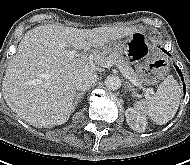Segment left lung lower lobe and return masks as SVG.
Returning a JSON list of instances; mask_svg holds the SVG:
<instances>
[{
  "label": "left lung lower lobe",
  "instance_id": "obj_1",
  "mask_svg": "<svg viewBox=\"0 0 190 165\" xmlns=\"http://www.w3.org/2000/svg\"><path fill=\"white\" fill-rule=\"evenodd\" d=\"M162 50H163L164 52H166L164 49H162ZM166 53H167V52H166ZM175 67H176V69H177V71H178V73H179V75L181 76V79H182V81H183V76H182V73H181L179 67L176 66V65H175ZM183 86H184V93H185V92H186L185 84H183Z\"/></svg>",
  "mask_w": 190,
  "mask_h": 165
}]
</instances>
